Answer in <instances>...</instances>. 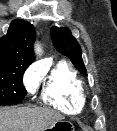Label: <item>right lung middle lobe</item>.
Here are the masks:
<instances>
[{
  "label": "right lung middle lobe",
  "instance_id": "1",
  "mask_svg": "<svg viewBox=\"0 0 117 131\" xmlns=\"http://www.w3.org/2000/svg\"><path fill=\"white\" fill-rule=\"evenodd\" d=\"M26 66L9 65L0 67V105L21 102L26 96L22 75Z\"/></svg>",
  "mask_w": 117,
  "mask_h": 131
}]
</instances>
